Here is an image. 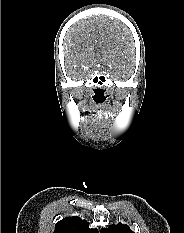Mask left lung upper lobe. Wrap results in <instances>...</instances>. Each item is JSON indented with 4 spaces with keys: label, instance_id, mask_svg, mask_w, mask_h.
<instances>
[{
    "label": "left lung upper lobe",
    "instance_id": "left-lung-upper-lobe-1",
    "mask_svg": "<svg viewBox=\"0 0 184 233\" xmlns=\"http://www.w3.org/2000/svg\"><path fill=\"white\" fill-rule=\"evenodd\" d=\"M101 233H134L128 225L118 223L117 225H111L108 228H103Z\"/></svg>",
    "mask_w": 184,
    "mask_h": 233
}]
</instances>
